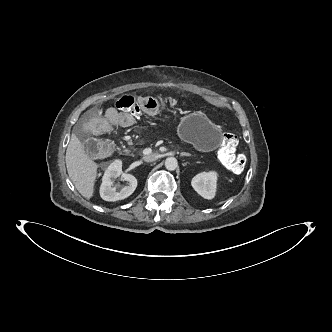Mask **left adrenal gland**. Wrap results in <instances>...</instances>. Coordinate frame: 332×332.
<instances>
[{
	"label": "left adrenal gland",
	"instance_id": "left-adrenal-gland-1",
	"mask_svg": "<svg viewBox=\"0 0 332 332\" xmlns=\"http://www.w3.org/2000/svg\"><path fill=\"white\" fill-rule=\"evenodd\" d=\"M180 155H181V156H191V154H189V153H185V152H182Z\"/></svg>",
	"mask_w": 332,
	"mask_h": 332
}]
</instances>
